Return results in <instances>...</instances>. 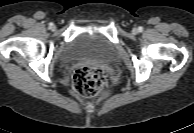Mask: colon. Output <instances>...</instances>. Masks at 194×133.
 Listing matches in <instances>:
<instances>
[{
  "instance_id": "obj_1",
  "label": "colon",
  "mask_w": 194,
  "mask_h": 133,
  "mask_svg": "<svg viewBox=\"0 0 194 133\" xmlns=\"http://www.w3.org/2000/svg\"><path fill=\"white\" fill-rule=\"evenodd\" d=\"M72 79L75 92L85 97L101 93L106 84L105 72L100 68L92 66L76 68Z\"/></svg>"
}]
</instances>
